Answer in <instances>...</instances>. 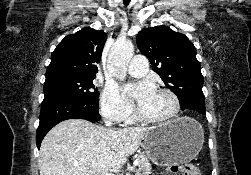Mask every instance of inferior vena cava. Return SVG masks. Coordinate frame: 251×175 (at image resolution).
<instances>
[{
	"label": "inferior vena cava",
	"mask_w": 251,
	"mask_h": 175,
	"mask_svg": "<svg viewBox=\"0 0 251 175\" xmlns=\"http://www.w3.org/2000/svg\"><path fill=\"white\" fill-rule=\"evenodd\" d=\"M105 125H109L110 127V125H112V121H105Z\"/></svg>",
	"instance_id": "obj_1"
}]
</instances>
